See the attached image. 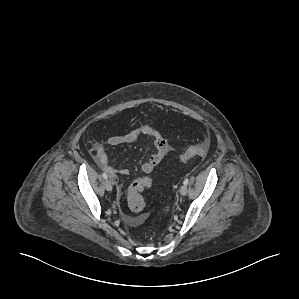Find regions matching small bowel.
Returning a JSON list of instances; mask_svg holds the SVG:
<instances>
[{"label": "small bowel", "mask_w": 299, "mask_h": 299, "mask_svg": "<svg viewBox=\"0 0 299 299\" xmlns=\"http://www.w3.org/2000/svg\"><path fill=\"white\" fill-rule=\"evenodd\" d=\"M140 137H151L154 140L155 151L149 156V158L144 161L141 165V169L144 173H151L155 167L161 162V160L166 156L169 151V145L167 141L159 134L154 128L144 125L133 129L124 135H115L107 139V144L111 146H118L122 144L133 143ZM150 146H146L145 151H150ZM93 157L95 162L110 175L112 182L117 183L118 177L117 173L128 175L129 170L126 168L115 169L110 165L109 159L103 149V147L98 146L93 152Z\"/></svg>", "instance_id": "c3829d8e"}]
</instances>
